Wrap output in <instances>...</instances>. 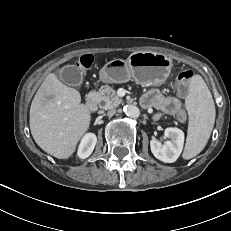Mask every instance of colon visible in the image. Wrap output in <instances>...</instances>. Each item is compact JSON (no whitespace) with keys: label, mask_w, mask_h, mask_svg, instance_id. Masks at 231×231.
Masks as SVG:
<instances>
[{"label":"colon","mask_w":231,"mask_h":231,"mask_svg":"<svg viewBox=\"0 0 231 231\" xmlns=\"http://www.w3.org/2000/svg\"><path fill=\"white\" fill-rule=\"evenodd\" d=\"M93 56L92 55H83L79 58L77 65L80 68H90L93 64ZM193 77V72L191 70H184L181 73L178 74L176 78V83H177V89L178 92L181 95H185L188 92L189 88V83ZM178 119L181 122H184L186 120V113L184 111H181L178 115Z\"/></svg>","instance_id":"obj_1"}]
</instances>
